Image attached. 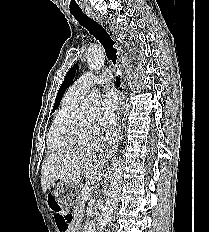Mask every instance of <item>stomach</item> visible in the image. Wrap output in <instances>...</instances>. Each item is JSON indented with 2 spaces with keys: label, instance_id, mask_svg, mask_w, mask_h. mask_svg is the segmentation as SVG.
<instances>
[{
  "label": "stomach",
  "instance_id": "1",
  "mask_svg": "<svg viewBox=\"0 0 209 232\" xmlns=\"http://www.w3.org/2000/svg\"><path fill=\"white\" fill-rule=\"evenodd\" d=\"M82 191H84V186H80L79 182H58L54 196L61 206H71L77 203V199H81Z\"/></svg>",
  "mask_w": 209,
  "mask_h": 232
}]
</instances>
